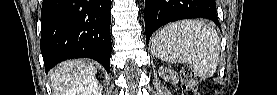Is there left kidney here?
I'll return each instance as SVG.
<instances>
[{"instance_id":"left-kidney-1","label":"left kidney","mask_w":277,"mask_h":95,"mask_svg":"<svg viewBox=\"0 0 277 95\" xmlns=\"http://www.w3.org/2000/svg\"><path fill=\"white\" fill-rule=\"evenodd\" d=\"M161 74L163 77H166L168 79L174 78V72H172L171 70L161 68Z\"/></svg>"}]
</instances>
